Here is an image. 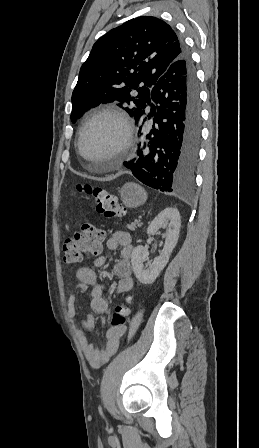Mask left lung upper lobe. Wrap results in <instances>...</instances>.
Returning a JSON list of instances; mask_svg holds the SVG:
<instances>
[{"label":"left lung upper lobe","instance_id":"obj_1","mask_svg":"<svg viewBox=\"0 0 259 448\" xmlns=\"http://www.w3.org/2000/svg\"><path fill=\"white\" fill-rule=\"evenodd\" d=\"M182 54L181 39L156 17H137L110 30L93 45L80 69L72 122L90 108L114 101L120 107L131 103L124 108L130 116L140 114L154 85Z\"/></svg>","mask_w":259,"mask_h":448}]
</instances>
